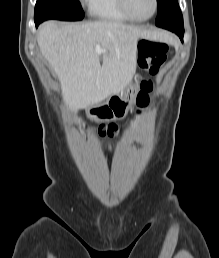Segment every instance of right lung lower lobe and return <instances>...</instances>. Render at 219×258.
Instances as JSON below:
<instances>
[{
  "label": "right lung lower lobe",
  "instance_id": "obj_1",
  "mask_svg": "<svg viewBox=\"0 0 219 258\" xmlns=\"http://www.w3.org/2000/svg\"><path fill=\"white\" fill-rule=\"evenodd\" d=\"M78 20H82V19H71V20H66V21H78ZM39 24H40V23L35 22L36 27H38Z\"/></svg>",
  "mask_w": 219,
  "mask_h": 258
}]
</instances>
